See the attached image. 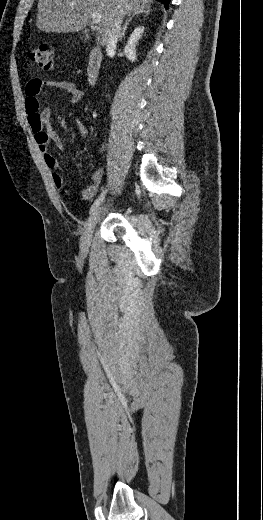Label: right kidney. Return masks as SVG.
I'll return each mask as SVG.
<instances>
[{
	"label": "right kidney",
	"instance_id": "ca27d5eb",
	"mask_svg": "<svg viewBox=\"0 0 263 520\" xmlns=\"http://www.w3.org/2000/svg\"><path fill=\"white\" fill-rule=\"evenodd\" d=\"M143 32H144L143 26L135 28V30L130 35V37L127 41V44L124 48V53H125L126 57L132 62L136 60V44H137L138 40L140 39Z\"/></svg>",
	"mask_w": 263,
	"mask_h": 520
}]
</instances>
